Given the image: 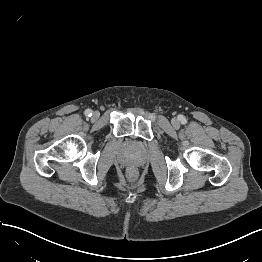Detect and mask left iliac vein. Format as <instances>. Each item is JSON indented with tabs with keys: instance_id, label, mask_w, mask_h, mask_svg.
Listing matches in <instances>:
<instances>
[{
	"instance_id": "1",
	"label": "left iliac vein",
	"mask_w": 262,
	"mask_h": 262,
	"mask_svg": "<svg viewBox=\"0 0 262 262\" xmlns=\"http://www.w3.org/2000/svg\"><path fill=\"white\" fill-rule=\"evenodd\" d=\"M172 125H173V127L178 128L180 126V123H179V121L177 119H173L172 120Z\"/></svg>"
}]
</instances>
